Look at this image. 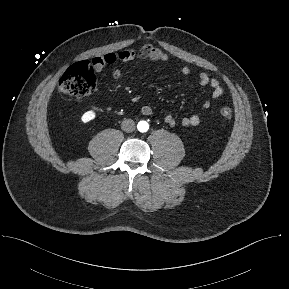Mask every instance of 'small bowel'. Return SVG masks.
I'll use <instances>...</instances> for the list:
<instances>
[{
  "label": "small bowel",
  "mask_w": 289,
  "mask_h": 289,
  "mask_svg": "<svg viewBox=\"0 0 289 289\" xmlns=\"http://www.w3.org/2000/svg\"><path fill=\"white\" fill-rule=\"evenodd\" d=\"M136 59H150L153 61L167 62L169 60V56L159 47L151 43H146L138 50L126 49L95 57L92 60V65L95 72H100L106 65H112L118 62H128ZM180 72L183 75L188 76L190 75L191 70L187 66H183L181 67ZM112 76L114 79H120L121 71L119 69H115ZM198 81L202 87H208L211 89V99L206 100L201 106V111H205L210 108L212 99L220 98L224 94V90L217 79L209 77L208 74L204 72L199 73ZM141 113L145 116H151L154 114V108L150 105H144L141 107ZM164 120L170 127H175L177 124L176 119L170 114L166 115ZM201 121V114L196 113L183 117L181 124L184 127H194L198 126Z\"/></svg>",
  "instance_id": "obj_1"
}]
</instances>
